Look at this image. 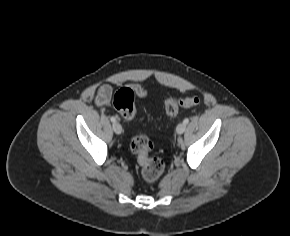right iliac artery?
I'll return each mask as SVG.
<instances>
[{
    "label": "right iliac artery",
    "mask_w": 290,
    "mask_h": 236,
    "mask_svg": "<svg viewBox=\"0 0 290 236\" xmlns=\"http://www.w3.org/2000/svg\"><path fill=\"white\" fill-rule=\"evenodd\" d=\"M110 120H111L113 123L116 122V119H115V117H113V116L110 118Z\"/></svg>",
    "instance_id": "82829eb1"
}]
</instances>
